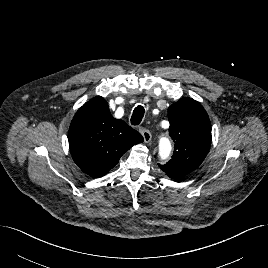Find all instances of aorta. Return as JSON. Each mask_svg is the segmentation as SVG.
Wrapping results in <instances>:
<instances>
[{"label": "aorta", "instance_id": "762f6f07", "mask_svg": "<svg viewBox=\"0 0 268 268\" xmlns=\"http://www.w3.org/2000/svg\"><path fill=\"white\" fill-rule=\"evenodd\" d=\"M170 152V145L169 143L165 140L162 139L161 140V144H160V154L163 158L167 157L169 155Z\"/></svg>", "mask_w": 268, "mask_h": 268}]
</instances>
